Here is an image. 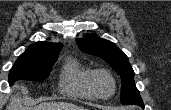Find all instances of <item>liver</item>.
Instances as JSON below:
<instances>
[{
    "mask_svg": "<svg viewBox=\"0 0 171 110\" xmlns=\"http://www.w3.org/2000/svg\"><path fill=\"white\" fill-rule=\"evenodd\" d=\"M7 110H84V108L65 102L41 103L34 107H25L22 106L20 97L15 96L7 106Z\"/></svg>",
    "mask_w": 171,
    "mask_h": 110,
    "instance_id": "liver-1",
    "label": "liver"
}]
</instances>
